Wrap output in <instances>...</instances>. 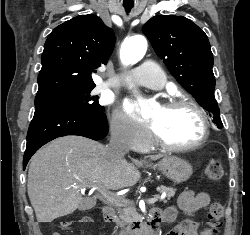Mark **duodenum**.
I'll return each mask as SVG.
<instances>
[{
  "label": "duodenum",
  "instance_id": "obj_1",
  "mask_svg": "<svg viewBox=\"0 0 250 235\" xmlns=\"http://www.w3.org/2000/svg\"><path fill=\"white\" fill-rule=\"evenodd\" d=\"M103 213L106 223H113L115 221L113 211L110 208L104 207ZM160 222L161 214L157 211H151L146 224L132 227L129 235H157Z\"/></svg>",
  "mask_w": 250,
  "mask_h": 235
}]
</instances>
